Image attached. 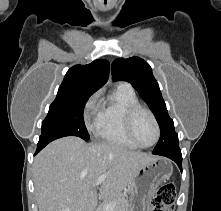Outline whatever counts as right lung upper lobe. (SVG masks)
<instances>
[{
	"label": "right lung upper lobe",
	"instance_id": "obj_1",
	"mask_svg": "<svg viewBox=\"0 0 221 211\" xmlns=\"http://www.w3.org/2000/svg\"><path fill=\"white\" fill-rule=\"evenodd\" d=\"M109 77V62L98 59L88 65H75L68 70L56 98H73L92 95Z\"/></svg>",
	"mask_w": 221,
	"mask_h": 211
}]
</instances>
